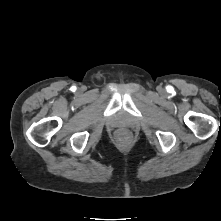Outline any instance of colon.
<instances>
[{
	"label": "colon",
	"instance_id": "1",
	"mask_svg": "<svg viewBox=\"0 0 221 221\" xmlns=\"http://www.w3.org/2000/svg\"><path fill=\"white\" fill-rule=\"evenodd\" d=\"M119 141H125L128 139V133L125 130H120L117 134Z\"/></svg>",
	"mask_w": 221,
	"mask_h": 221
}]
</instances>
